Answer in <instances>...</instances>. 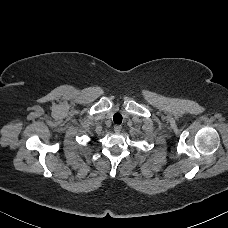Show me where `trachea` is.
<instances>
[{
    "mask_svg": "<svg viewBox=\"0 0 228 228\" xmlns=\"http://www.w3.org/2000/svg\"><path fill=\"white\" fill-rule=\"evenodd\" d=\"M113 122L115 124L122 123V115L119 112L115 113V115L113 116Z\"/></svg>",
    "mask_w": 228,
    "mask_h": 228,
    "instance_id": "trachea-1",
    "label": "trachea"
}]
</instances>
